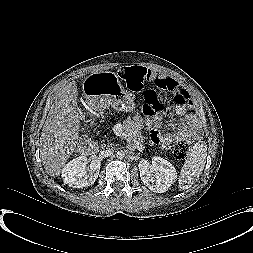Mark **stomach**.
Here are the masks:
<instances>
[{
	"label": "stomach",
	"instance_id": "obj_1",
	"mask_svg": "<svg viewBox=\"0 0 253 253\" xmlns=\"http://www.w3.org/2000/svg\"><path fill=\"white\" fill-rule=\"evenodd\" d=\"M83 94L89 104L97 108L113 107L119 111L132 112L135 103L115 74L105 72L88 76L83 82Z\"/></svg>",
	"mask_w": 253,
	"mask_h": 253
}]
</instances>
